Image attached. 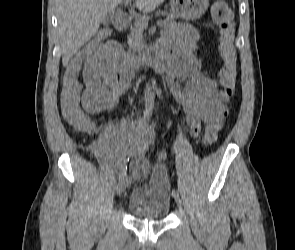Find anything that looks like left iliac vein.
<instances>
[{
  "label": "left iliac vein",
  "mask_w": 295,
  "mask_h": 250,
  "mask_svg": "<svg viewBox=\"0 0 295 250\" xmlns=\"http://www.w3.org/2000/svg\"><path fill=\"white\" fill-rule=\"evenodd\" d=\"M174 197V199H175V202L177 203V205L178 206H180L181 205V200H180V198H179V196H173Z\"/></svg>",
  "instance_id": "1"
}]
</instances>
